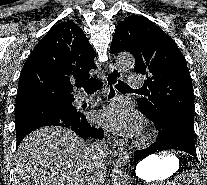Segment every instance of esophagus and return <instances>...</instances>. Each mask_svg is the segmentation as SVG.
Segmentation results:
<instances>
[{
  "label": "esophagus",
  "instance_id": "1",
  "mask_svg": "<svg viewBox=\"0 0 207 185\" xmlns=\"http://www.w3.org/2000/svg\"><path fill=\"white\" fill-rule=\"evenodd\" d=\"M106 67H108V73L106 75V88H107V94H106V102L109 103L112 100H114L118 92L116 90V85L120 78L122 77L121 73V67H116L114 65V62H106ZM111 151L114 154L115 157H124L123 156V147L119 140H117L115 137H108Z\"/></svg>",
  "mask_w": 207,
  "mask_h": 185
}]
</instances>
